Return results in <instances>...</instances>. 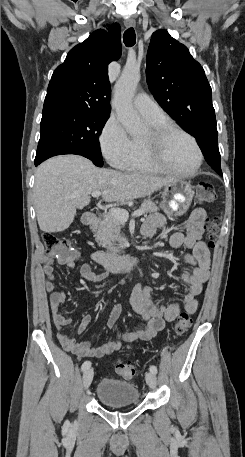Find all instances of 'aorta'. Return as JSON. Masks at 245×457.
<instances>
[{"label": "aorta", "mask_w": 245, "mask_h": 457, "mask_svg": "<svg viewBox=\"0 0 245 457\" xmlns=\"http://www.w3.org/2000/svg\"><path fill=\"white\" fill-rule=\"evenodd\" d=\"M139 80V69L126 66L115 84V93L112 101L119 121L130 134H139L144 131V124L132 104Z\"/></svg>", "instance_id": "1"}]
</instances>
